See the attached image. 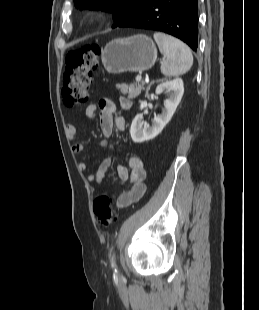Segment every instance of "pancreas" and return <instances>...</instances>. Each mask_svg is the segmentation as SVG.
Returning a JSON list of instances; mask_svg holds the SVG:
<instances>
[{
    "label": "pancreas",
    "mask_w": 259,
    "mask_h": 310,
    "mask_svg": "<svg viewBox=\"0 0 259 310\" xmlns=\"http://www.w3.org/2000/svg\"><path fill=\"white\" fill-rule=\"evenodd\" d=\"M144 85H145L144 82L134 83L130 85L123 83V84H116V88L120 90L122 94L124 95L128 94L129 99H134L141 94L142 90H144Z\"/></svg>",
    "instance_id": "1"
}]
</instances>
